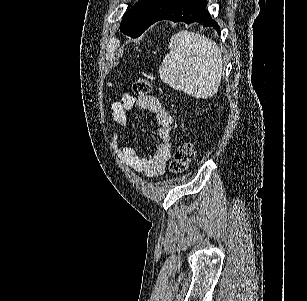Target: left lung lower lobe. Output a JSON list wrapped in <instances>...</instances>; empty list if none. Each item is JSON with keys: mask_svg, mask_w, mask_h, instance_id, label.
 Returning <instances> with one entry per match:
<instances>
[{"mask_svg": "<svg viewBox=\"0 0 307 301\" xmlns=\"http://www.w3.org/2000/svg\"><path fill=\"white\" fill-rule=\"evenodd\" d=\"M207 3V0H179L159 16L156 21L166 19L173 22L182 21L187 24L198 22L203 27H214L220 34V27L206 10Z\"/></svg>", "mask_w": 307, "mask_h": 301, "instance_id": "0a47b994", "label": "left lung lower lobe"}]
</instances>
